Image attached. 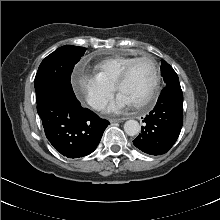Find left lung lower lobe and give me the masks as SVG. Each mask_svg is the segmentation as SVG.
<instances>
[{"label":"left lung lower lobe","instance_id":"1","mask_svg":"<svg viewBox=\"0 0 220 220\" xmlns=\"http://www.w3.org/2000/svg\"><path fill=\"white\" fill-rule=\"evenodd\" d=\"M134 145L151 155H162L176 142L183 124V94L179 83L167 85L154 109L143 120Z\"/></svg>","mask_w":220,"mask_h":220}]
</instances>
